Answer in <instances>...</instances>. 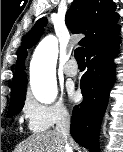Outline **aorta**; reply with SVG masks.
Here are the masks:
<instances>
[{
  "label": "aorta",
  "instance_id": "aorta-1",
  "mask_svg": "<svg viewBox=\"0 0 123 152\" xmlns=\"http://www.w3.org/2000/svg\"><path fill=\"white\" fill-rule=\"evenodd\" d=\"M58 42L47 36L36 47L30 64V84L34 97L43 104H51L57 96L56 63Z\"/></svg>",
  "mask_w": 123,
  "mask_h": 152
}]
</instances>
